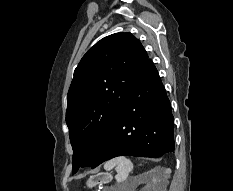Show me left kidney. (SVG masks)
<instances>
[{"label":"left kidney","mask_w":233,"mask_h":191,"mask_svg":"<svg viewBox=\"0 0 233 191\" xmlns=\"http://www.w3.org/2000/svg\"><path fill=\"white\" fill-rule=\"evenodd\" d=\"M140 180L149 181L146 186V189H144L143 191H152L151 189L155 188V184L157 182V174L151 171L147 174V177H144L143 175L140 176Z\"/></svg>","instance_id":"1"}]
</instances>
